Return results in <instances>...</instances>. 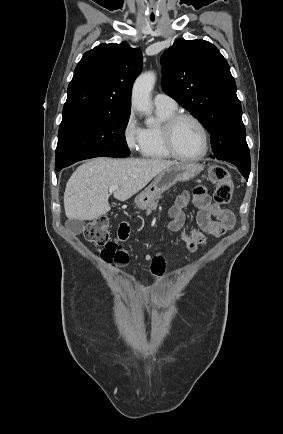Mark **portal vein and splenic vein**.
Here are the masks:
<instances>
[{"label":"portal vein and splenic vein","instance_id":"obj_1","mask_svg":"<svg viewBox=\"0 0 283 434\" xmlns=\"http://www.w3.org/2000/svg\"><path fill=\"white\" fill-rule=\"evenodd\" d=\"M118 188H119L118 185H112V186L109 188V192H114V191H116Z\"/></svg>","mask_w":283,"mask_h":434}]
</instances>
